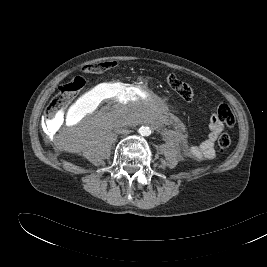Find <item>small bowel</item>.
Returning a JSON list of instances; mask_svg holds the SVG:
<instances>
[{"label":"small bowel","instance_id":"1","mask_svg":"<svg viewBox=\"0 0 267 267\" xmlns=\"http://www.w3.org/2000/svg\"><path fill=\"white\" fill-rule=\"evenodd\" d=\"M225 124L220 119L217 110L211 114L209 121V134L206 140L197 145H189L183 143V151L187 156L193 157L197 160L212 159L215 156V142L219 134L223 131Z\"/></svg>","mask_w":267,"mask_h":267}]
</instances>
